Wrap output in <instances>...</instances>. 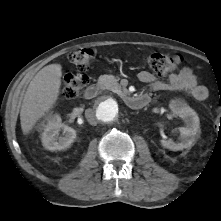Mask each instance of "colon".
<instances>
[{"instance_id":"1","label":"colon","mask_w":221,"mask_h":221,"mask_svg":"<svg viewBox=\"0 0 221 221\" xmlns=\"http://www.w3.org/2000/svg\"><path fill=\"white\" fill-rule=\"evenodd\" d=\"M94 57V50L83 48L71 54V61L80 71L88 69ZM144 61L151 72L162 77L179 68L182 57L179 55H169L164 53H151L145 56ZM88 83V78L84 74H69L63 81V93L67 98H74L80 95ZM220 121H221V96L219 99Z\"/></svg>"}]
</instances>
